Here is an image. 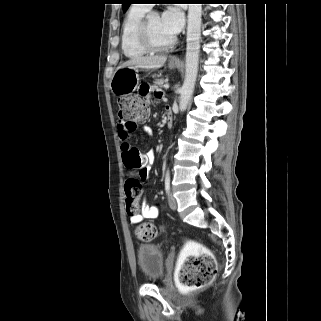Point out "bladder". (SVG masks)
I'll use <instances>...</instances> for the list:
<instances>
[{"instance_id": "1", "label": "bladder", "mask_w": 321, "mask_h": 321, "mask_svg": "<svg viewBox=\"0 0 321 321\" xmlns=\"http://www.w3.org/2000/svg\"><path fill=\"white\" fill-rule=\"evenodd\" d=\"M137 261L143 276L149 281H159L164 274V257L159 248L150 243L137 248Z\"/></svg>"}]
</instances>
